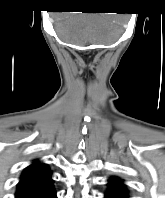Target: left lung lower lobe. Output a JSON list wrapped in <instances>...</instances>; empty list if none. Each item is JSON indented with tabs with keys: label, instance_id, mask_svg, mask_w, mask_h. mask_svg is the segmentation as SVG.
<instances>
[{
	"label": "left lung lower lobe",
	"instance_id": "1",
	"mask_svg": "<svg viewBox=\"0 0 165 198\" xmlns=\"http://www.w3.org/2000/svg\"><path fill=\"white\" fill-rule=\"evenodd\" d=\"M104 198H129V190L123 180L118 177H111L108 180V189Z\"/></svg>",
	"mask_w": 165,
	"mask_h": 198
}]
</instances>
